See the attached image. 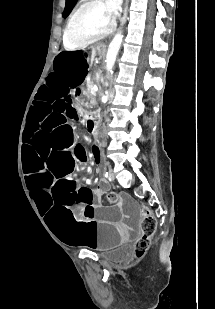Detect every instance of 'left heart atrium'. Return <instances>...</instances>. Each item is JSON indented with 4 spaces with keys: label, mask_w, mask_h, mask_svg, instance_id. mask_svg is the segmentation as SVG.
Returning <instances> with one entry per match:
<instances>
[{
    "label": "left heart atrium",
    "mask_w": 215,
    "mask_h": 309,
    "mask_svg": "<svg viewBox=\"0 0 215 309\" xmlns=\"http://www.w3.org/2000/svg\"><path fill=\"white\" fill-rule=\"evenodd\" d=\"M106 6L105 13L109 20H113L120 11L119 0H106Z\"/></svg>",
    "instance_id": "1"
}]
</instances>
